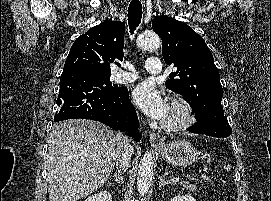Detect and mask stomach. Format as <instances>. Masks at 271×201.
<instances>
[{"mask_svg":"<svg viewBox=\"0 0 271 201\" xmlns=\"http://www.w3.org/2000/svg\"><path fill=\"white\" fill-rule=\"evenodd\" d=\"M155 148L164 161L174 166L186 167L198 159L197 150L186 140H174Z\"/></svg>","mask_w":271,"mask_h":201,"instance_id":"stomach-1","label":"stomach"}]
</instances>
